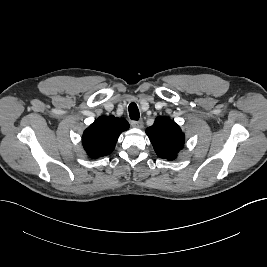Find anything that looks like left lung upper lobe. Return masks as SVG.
I'll return each instance as SVG.
<instances>
[{"mask_svg": "<svg viewBox=\"0 0 267 267\" xmlns=\"http://www.w3.org/2000/svg\"><path fill=\"white\" fill-rule=\"evenodd\" d=\"M156 154L163 159L174 160L184 145V134L180 127L168 117H158L146 129Z\"/></svg>", "mask_w": 267, "mask_h": 267, "instance_id": "obj_1", "label": "left lung upper lobe"}]
</instances>
